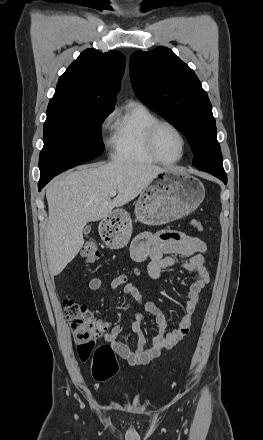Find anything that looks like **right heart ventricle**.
Returning a JSON list of instances; mask_svg holds the SVG:
<instances>
[{
  "mask_svg": "<svg viewBox=\"0 0 263 440\" xmlns=\"http://www.w3.org/2000/svg\"><path fill=\"white\" fill-rule=\"evenodd\" d=\"M158 118L146 106L128 105L113 126L110 139L111 156L115 161L127 163H153L145 145L148 127Z\"/></svg>",
  "mask_w": 263,
  "mask_h": 440,
  "instance_id": "obj_1",
  "label": "right heart ventricle"
}]
</instances>
